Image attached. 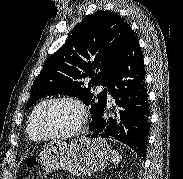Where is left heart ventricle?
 Listing matches in <instances>:
<instances>
[{"label":"left heart ventricle","instance_id":"1","mask_svg":"<svg viewBox=\"0 0 183 179\" xmlns=\"http://www.w3.org/2000/svg\"><path fill=\"white\" fill-rule=\"evenodd\" d=\"M80 113L68 102H57L49 107L43 118V127L49 133H64L72 130L79 122Z\"/></svg>","mask_w":183,"mask_h":179}]
</instances>
